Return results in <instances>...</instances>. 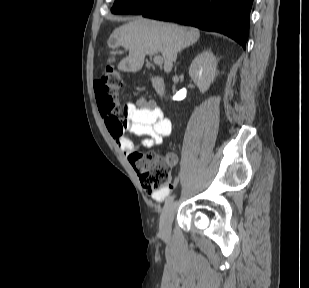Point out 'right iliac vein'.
<instances>
[{"label":"right iliac vein","mask_w":309,"mask_h":288,"mask_svg":"<svg viewBox=\"0 0 309 288\" xmlns=\"http://www.w3.org/2000/svg\"><path fill=\"white\" fill-rule=\"evenodd\" d=\"M175 208H176V203L172 201L166 206V208L164 209L160 217L159 230H160V234L164 238L170 237L171 224L173 221Z\"/></svg>","instance_id":"1"}]
</instances>
